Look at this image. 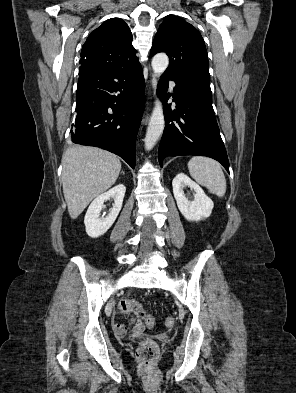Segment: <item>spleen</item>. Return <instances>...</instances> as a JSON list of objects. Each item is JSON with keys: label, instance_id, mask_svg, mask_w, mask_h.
<instances>
[{"label": "spleen", "instance_id": "1", "mask_svg": "<svg viewBox=\"0 0 296 393\" xmlns=\"http://www.w3.org/2000/svg\"><path fill=\"white\" fill-rule=\"evenodd\" d=\"M191 177L205 186L213 194L223 197L226 192V179L220 164L210 158L195 156L188 162Z\"/></svg>", "mask_w": 296, "mask_h": 393}]
</instances>
